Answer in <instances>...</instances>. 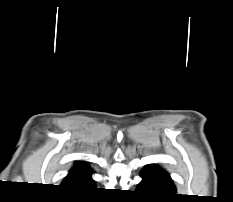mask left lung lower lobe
<instances>
[{
  "label": "left lung lower lobe",
  "mask_w": 233,
  "mask_h": 202,
  "mask_svg": "<svg viewBox=\"0 0 233 202\" xmlns=\"http://www.w3.org/2000/svg\"><path fill=\"white\" fill-rule=\"evenodd\" d=\"M141 177L137 192L148 201L169 202L175 198L176 190L169 174L148 166L141 172Z\"/></svg>",
  "instance_id": "left-lung-lower-lobe-1"
}]
</instances>
